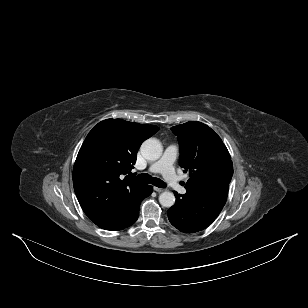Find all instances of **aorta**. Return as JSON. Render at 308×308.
<instances>
[{
    "mask_svg": "<svg viewBox=\"0 0 308 308\" xmlns=\"http://www.w3.org/2000/svg\"><path fill=\"white\" fill-rule=\"evenodd\" d=\"M141 153L147 160H157L162 155V145L156 139H147L141 145ZM159 202L169 208L175 204V196L172 192L164 191L159 195Z\"/></svg>",
    "mask_w": 308,
    "mask_h": 308,
    "instance_id": "obj_1",
    "label": "aorta"
}]
</instances>
